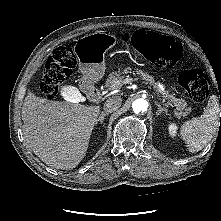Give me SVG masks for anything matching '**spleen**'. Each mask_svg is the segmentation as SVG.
<instances>
[{
    "instance_id": "spleen-1",
    "label": "spleen",
    "mask_w": 221,
    "mask_h": 221,
    "mask_svg": "<svg viewBox=\"0 0 221 221\" xmlns=\"http://www.w3.org/2000/svg\"><path fill=\"white\" fill-rule=\"evenodd\" d=\"M218 97L212 95L201 117H195L181 126V135L191 153L202 150L219 128Z\"/></svg>"
}]
</instances>
